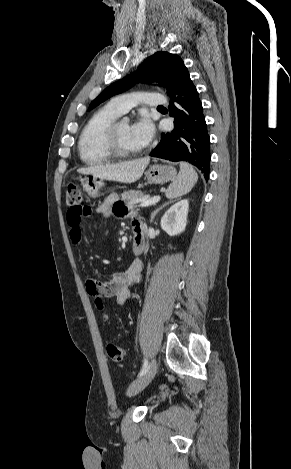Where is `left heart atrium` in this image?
<instances>
[{
  "label": "left heart atrium",
  "mask_w": 291,
  "mask_h": 469,
  "mask_svg": "<svg viewBox=\"0 0 291 469\" xmlns=\"http://www.w3.org/2000/svg\"><path fill=\"white\" fill-rule=\"evenodd\" d=\"M154 133V125L146 114L141 115L131 126V135L141 148L147 146L151 142Z\"/></svg>",
  "instance_id": "1"
}]
</instances>
